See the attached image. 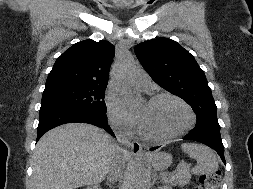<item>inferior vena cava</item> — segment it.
Returning a JSON list of instances; mask_svg holds the SVG:
<instances>
[{"label": "inferior vena cava", "instance_id": "obj_1", "mask_svg": "<svg viewBox=\"0 0 253 189\" xmlns=\"http://www.w3.org/2000/svg\"><path fill=\"white\" fill-rule=\"evenodd\" d=\"M115 134L118 137V140L121 145L129 146L130 137L127 133L122 131L121 129L114 126ZM128 151L125 148L116 149L114 151V162L112 163L109 172L108 179L110 182L114 183L117 180L121 179L123 175V170L125 168V158L127 157Z\"/></svg>", "mask_w": 253, "mask_h": 189}]
</instances>
